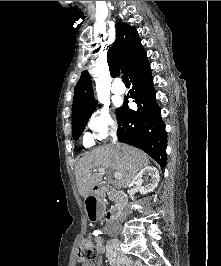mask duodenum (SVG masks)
<instances>
[{"label": "duodenum", "instance_id": "duodenum-1", "mask_svg": "<svg viewBox=\"0 0 221 266\" xmlns=\"http://www.w3.org/2000/svg\"><path fill=\"white\" fill-rule=\"evenodd\" d=\"M114 194V191H106L102 185L96 186L95 189L87 192L88 198H85V206H87V219L89 223H98V219H102L103 213V196ZM117 214L116 209H110L106 212V220L111 223L115 220Z\"/></svg>", "mask_w": 221, "mask_h": 266}]
</instances>
